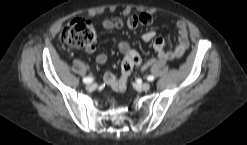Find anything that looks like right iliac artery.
I'll use <instances>...</instances> for the list:
<instances>
[{"instance_id": "right-iliac-artery-1", "label": "right iliac artery", "mask_w": 247, "mask_h": 145, "mask_svg": "<svg viewBox=\"0 0 247 145\" xmlns=\"http://www.w3.org/2000/svg\"><path fill=\"white\" fill-rule=\"evenodd\" d=\"M93 81V78L92 77H86L83 79V82L88 84V83H91Z\"/></svg>"}]
</instances>
